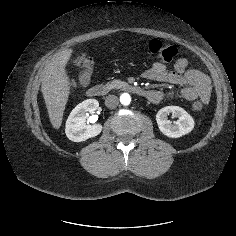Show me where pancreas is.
Instances as JSON below:
<instances>
[{
	"instance_id": "obj_1",
	"label": "pancreas",
	"mask_w": 236,
	"mask_h": 236,
	"mask_svg": "<svg viewBox=\"0 0 236 236\" xmlns=\"http://www.w3.org/2000/svg\"><path fill=\"white\" fill-rule=\"evenodd\" d=\"M127 83L124 82V81H121V80H113V81H110V82H107L106 84V87L111 90V89H118V88H121V87H124L126 86Z\"/></svg>"
}]
</instances>
